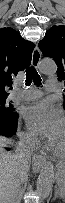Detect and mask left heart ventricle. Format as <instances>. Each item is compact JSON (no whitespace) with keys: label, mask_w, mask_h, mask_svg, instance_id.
<instances>
[{"label":"left heart ventricle","mask_w":65,"mask_h":203,"mask_svg":"<svg viewBox=\"0 0 65 203\" xmlns=\"http://www.w3.org/2000/svg\"><path fill=\"white\" fill-rule=\"evenodd\" d=\"M51 143L54 148L58 149L59 151H63L65 149V128Z\"/></svg>","instance_id":"1"}]
</instances>
